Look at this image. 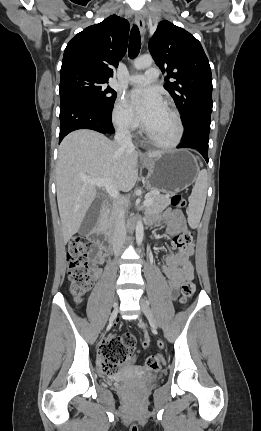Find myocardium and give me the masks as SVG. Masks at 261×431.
I'll use <instances>...</instances> for the list:
<instances>
[{"label":"myocardium","mask_w":261,"mask_h":431,"mask_svg":"<svg viewBox=\"0 0 261 431\" xmlns=\"http://www.w3.org/2000/svg\"><path fill=\"white\" fill-rule=\"evenodd\" d=\"M164 106L172 113L175 122H176V134L175 137L168 142H162L157 140L156 138H154L151 133L144 127L143 131L144 134L146 136V138L148 139V141L161 149H165V150H171L176 148L182 141L183 138V133H184V127H183V122L180 116V113L178 112V110L176 108H174L172 105H170L169 103H165Z\"/></svg>","instance_id":"myocardium-1"}]
</instances>
